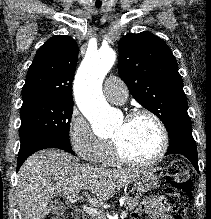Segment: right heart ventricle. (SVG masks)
<instances>
[{
  "mask_svg": "<svg viewBox=\"0 0 211 219\" xmlns=\"http://www.w3.org/2000/svg\"><path fill=\"white\" fill-rule=\"evenodd\" d=\"M103 165L113 166L117 163V160L114 157L112 147H110L100 158L99 160Z\"/></svg>",
  "mask_w": 211,
  "mask_h": 219,
  "instance_id": "right-heart-ventricle-1",
  "label": "right heart ventricle"
}]
</instances>
